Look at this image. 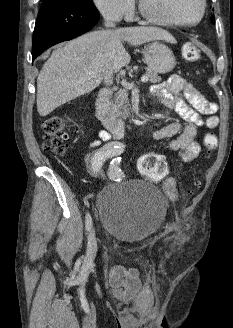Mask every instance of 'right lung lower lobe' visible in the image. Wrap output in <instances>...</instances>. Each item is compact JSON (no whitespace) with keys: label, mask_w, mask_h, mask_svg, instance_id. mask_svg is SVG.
Returning a JSON list of instances; mask_svg holds the SVG:
<instances>
[{"label":"right lung lower lobe","mask_w":233,"mask_h":328,"mask_svg":"<svg viewBox=\"0 0 233 328\" xmlns=\"http://www.w3.org/2000/svg\"><path fill=\"white\" fill-rule=\"evenodd\" d=\"M98 20L95 6L43 1L33 33V60L47 48L87 32Z\"/></svg>","instance_id":"98d812e1"}]
</instances>
